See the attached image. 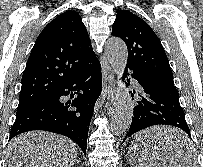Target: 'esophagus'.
<instances>
[{
    "instance_id": "obj_1",
    "label": "esophagus",
    "mask_w": 203,
    "mask_h": 167,
    "mask_svg": "<svg viewBox=\"0 0 203 167\" xmlns=\"http://www.w3.org/2000/svg\"><path fill=\"white\" fill-rule=\"evenodd\" d=\"M109 80H110L111 82L114 81V76H113V75H110V76H109ZM114 92H115V90H114V87H113L112 90H111V94L113 95Z\"/></svg>"
}]
</instances>
